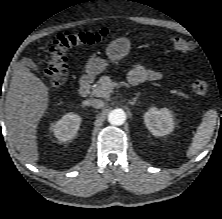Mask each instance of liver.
<instances>
[{"mask_svg": "<svg viewBox=\"0 0 222 219\" xmlns=\"http://www.w3.org/2000/svg\"><path fill=\"white\" fill-rule=\"evenodd\" d=\"M23 58L15 64L5 101L6 125L15 148L23 160L39 159L37 126L48 109L46 85L36 77Z\"/></svg>", "mask_w": 222, "mask_h": 219, "instance_id": "obj_1", "label": "liver"}]
</instances>
